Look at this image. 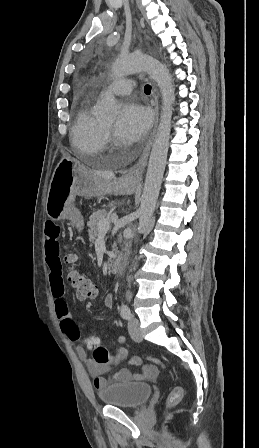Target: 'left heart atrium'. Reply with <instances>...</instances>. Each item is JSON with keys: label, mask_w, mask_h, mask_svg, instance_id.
Wrapping results in <instances>:
<instances>
[{"label": "left heart atrium", "mask_w": 259, "mask_h": 448, "mask_svg": "<svg viewBox=\"0 0 259 448\" xmlns=\"http://www.w3.org/2000/svg\"><path fill=\"white\" fill-rule=\"evenodd\" d=\"M150 125L149 111L137 101H127L121 107L116 131L125 142L142 139Z\"/></svg>", "instance_id": "1"}]
</instances>
